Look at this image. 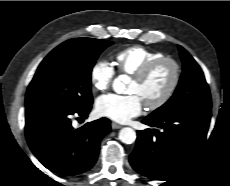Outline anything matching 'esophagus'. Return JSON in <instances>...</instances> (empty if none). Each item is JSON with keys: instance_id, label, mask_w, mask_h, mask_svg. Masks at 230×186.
<instances>
[{"instance_id": "34e87169", "label": "esophagus", "mask_w": 230, "mask_h": 186, "mask_svg": "<svg viewBox=\"0 0 230 186\" xmlns=\"http://www.w3.org/2000/svg\"><path fill=\"white\" fill-rule=\"evenodd\" d=\"M111 127H112V129H120L121 127H122V125H120V124H118V123H115V122H113L112 124H111Z\"/></svg>"}]
</instances>
